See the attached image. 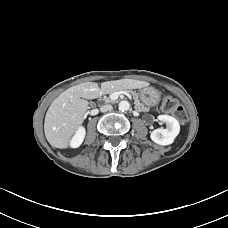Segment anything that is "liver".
Here are the masks:
<instances>
[{
  "instance_id": "6515ba94",
  "label": "liver",
  "mask_w": 228,
  "mask_h": 228,
  "mask_svg": "<svg viewBox=\"0 0 228 228\" xmlns=\"http://www.w3.org/2000/svg\"><path fill=\"white\" fill-rule=\"evenodd\" d=\"M125 83L134 89L149 85L146 81L117 80L102 83L100 89L95 82H84L61 93L52 102L45 116L44 132L49 144L59 149L68 148L84 121L89 104L86 99H95L102 93L119 90Z\"/></svg>"
}]
</instances>
